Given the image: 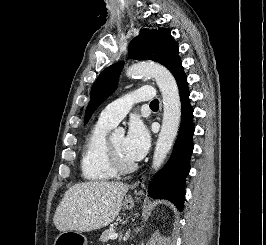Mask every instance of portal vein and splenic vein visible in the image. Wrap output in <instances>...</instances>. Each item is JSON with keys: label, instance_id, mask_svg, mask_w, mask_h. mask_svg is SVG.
<instances>
[{"label": "portal vein and splenic vein", "instance_id": "1", "mask_svg": "<svg viewBox=\"0 0 266 245\" xmlns=\"http://www.w3.org/2000/svg\"><path fill=\"white\" fill-rule=\"evenodd\" d=\"M118 235L117 233H112V235H110L109 239H117Z\"/></svg>", "mask_w": 266, "mask_h": 245}]
</instances>
